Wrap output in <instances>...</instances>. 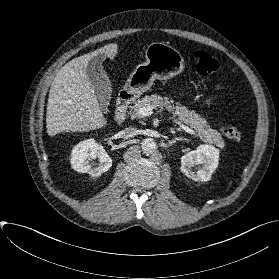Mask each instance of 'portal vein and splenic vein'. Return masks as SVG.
Instances as JSON below:
<instances>
[{
	"label": "portal vein and splenic vein",
	"mask_w": 279,
	"mask_h": 279,
	"mask_svg": "<svg viewBox=\"0 0 279 279\" xmlns=\"http://www.w3.org/2000/svg\"><path fill=\"white\" fill-rule=\"evenodd\" d=\"M138 113L142 116V117H147V116H150L153 114V109L151 107H141L139 108V111ZM180 127L188 132L189 134H192V135H196V132L192 129H190L189 127L185 126V125H180Z\"/></svg>",
	"instance_id": "obj_1"
}]
</instances>
